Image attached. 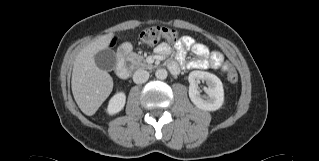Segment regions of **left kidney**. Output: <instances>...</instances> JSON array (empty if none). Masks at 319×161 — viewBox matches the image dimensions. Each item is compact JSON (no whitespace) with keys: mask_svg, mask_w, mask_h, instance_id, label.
<instances>
[{"mask_svg":"<svg viewBox=\"0 0 319 161\" xmlns=\"http://www.w3.org/2000/svg\"><path fill=\"white\" fill-rule=\"evenodd\" d=\"M189 97L199 109L206 111L218 110L224 102V89L221 80L214 74L204 71H192L188 77ZM203 80L208 85L205 88L207 95L201 96L198 82Z\"/></svg>","mask_w":319,"mask_h":161,"instance_id":"5707ae66","label":"left kidney"}]
</instances>
